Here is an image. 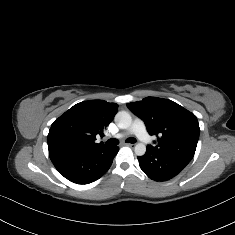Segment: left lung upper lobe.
Wrapping results in <instances>:
<instances>
[{"label":"left lung upper lobe","mask_w":235,"mask_h":235,"mask_svg":"<svg viewBox=\"0 0 235 235\" xmlns=\"http://www.w3.org/2000/svg\"><path fill=\"white\" fill-rule=\"evenodd\" d=\"M127 107L140 117L150 135L157 137V145L147 148L191 161L199 139L197 117L179 104L157 97H147Z\"/></svg>","instance_id":"left-lung-upper-lobe-1"}]
</instances>
